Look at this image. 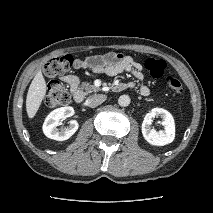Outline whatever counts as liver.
Wrapping results in <instances>:
<instances>
[{
	"label": "liver",
	"mask_w": 213,
	"mask_h": 213,
	"mask_svg": "<svg viewBox=\"0 0 213 213\" xmlns=\"http://www.w3.org/2000/svg\"><path fill=\"white\" fill-rule=\"evenodd\" d=\"M46 90V81L41 70H39L33 78L27 93L26 111L29 118H33L36 115L45 97Z\"/></svg>",
	"instance_id": "6515ba94"
}]
</instances>
